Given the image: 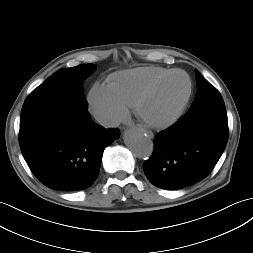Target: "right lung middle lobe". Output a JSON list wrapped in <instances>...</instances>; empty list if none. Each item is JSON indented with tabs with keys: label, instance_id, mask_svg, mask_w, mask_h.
Wrapping results in <instances>:
<instances>
[{
	"label": "right lung middle lobe",
	"instance_id": "dd1d6c3e",
	"mask_svg": "<svg viewBox=\"0 0 253 253\" xmlns=\"http://www.w3.org/2000/svg\"><path fill=\"white\" fill-rule=\"evenodd\" d=\"M94 69L93 64H81L57 71L26 98L21 115L65 101H77L87 107L81 84Z\"/></svg>",
	"mask_w": 253,
	"mask_h": 253
}]
</instances>
